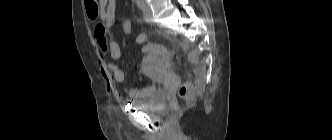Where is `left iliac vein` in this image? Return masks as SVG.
Here are the masks:
<instances>
[{
	"label": "left iliac vein",
	"mask_w": 332,
	"mask_h": 140,
	"mask_svg": "<svg viewBox=\"0 0 332 140\" xmlns=\"http://www.w3.org/2000/svg\"><path fill=\"white\" fill-rule=\"evenodd\" d=\"M142 11L144 19L147 22H152V11L149 4L145 0H142Z\"/></svg>",
	"instance_id": "left-iliac-vein-1"
}]
</instances>
